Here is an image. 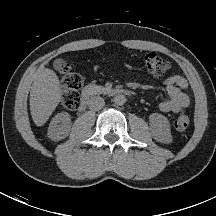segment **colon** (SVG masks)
I'll return each mask as SVG.
<instances>
[{"label":"colon","instance_id":"5ec220e1","mask_svg":"<svg viewBox=\"0 0 216 216\" xmlns=\"http://www.w3.org/2000/svg\"><path fill=\"white\" fill-rule=\"evenodd\" d=\"M141 62L148 72L155 76H162L171 68V63L157 53L145 54L142 56ZM60 80L63 88L62 106L67 110L77 109L81 101L82 77L65 65L61 68ZM189 123V115L185 110H182L174 121V127L178 131H183L189 126Z\"/></svg>","mask_w":216,"mask_h":216}]
</instances>
